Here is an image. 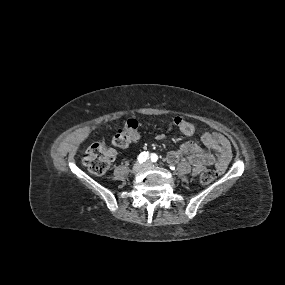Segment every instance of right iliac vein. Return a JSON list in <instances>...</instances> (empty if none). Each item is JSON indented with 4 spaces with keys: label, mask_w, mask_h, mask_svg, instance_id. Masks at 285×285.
<instances>
[{
    "label": "right iliac vein",
    "mask_w": 285,
    "mask_h": 285,
    "mask_svg": "<svg viewBox=\"0 0 285 285\" xmlns=\"http://www.w3.org/2000/svg\"><path fill=\"white\" fill-rule=\"evenodd\" d=\"M142 168H143V165H142V164H140V163H135L134 166H133V168H132V172H133L134 174H137V173H139V172L141 171Z\"/></svg>",
    "instance_id": "1"
}]
</instances>
